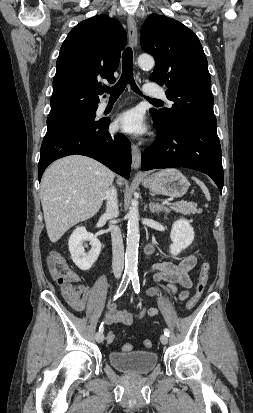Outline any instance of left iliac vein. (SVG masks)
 <instances>
[{
  "label": "left iliac vein",
  "mask_w": 253,
  "mask_h": 413,
  "mask_svg": "<svg viewBox=\"0 0 253 413\" xmlns=\"http://www.w3.org/2000/svg\"><path fill=\"white\" fill-rule=\"evenodd\" d=\"M160 341H161V343L162 344H167L168 343V337L165 335V334H162L161 336H160Z\"/></svg>",
  "instance_id": "left-iliac-vein-1"
}]
</instances>
